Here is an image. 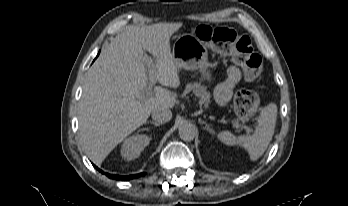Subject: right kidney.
Returning a JSON list of instances; mask_svg holds the SVG:
<instances>
[{
  "instance_id": "1",
  "label": "right kidney",
  "mask_w": 348,
  "mask_h": 206,
  "mask_svg": "<svg viewBox=\"0 0 348 206\" xmlns=\"http://www.w3.org/2000/svg\"><path fill=\"white\" fill-rule=\"evenodd\" d=\"M149 141L150 138L146 135L130 136L122 144L121 156L128 161L138 158Z\"/></svg>"
}]
</instances>
